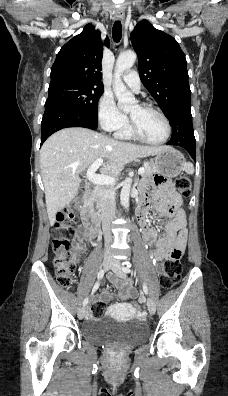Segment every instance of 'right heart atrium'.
Instances as JSON below:
<instances>
[{
    "label": "right heart atrium",
    "instance_id": "d8ad5b80",
    "mask_svg": "<svg viewBox=\"0 0 228 396\" xmlns=\"http://www.w3.org/2000/svg\"><path fill=\"white\" fill-rule=\"evenodd\" d=\"M98 122L103 130L115 132L127 127V118L117 109L110 94L104 93L99 100Z\"/></svg>",
    "mask_w": 228,
    "mask_h": 396
}]
</instances>
